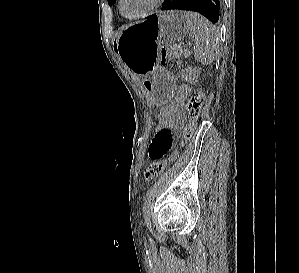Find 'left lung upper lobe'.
Segmentation results:
<instances>
[{
    "instance_id": "left-lung-upper-lobe-1",
    "label": "left lung upper lobe",
    "mask_w": 299,
    "mask_h": 273,
    "mask_svg": "<svg viewBox=\"0 0 299 273\" xmlns=\"http://www.w3.org/2000/svg\"><path fill=\"white\" fill-rule=\"evenodd\" d=\"M116 2V0H108L109 5H113Z\"/></svg>"
}]
</instances>
